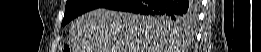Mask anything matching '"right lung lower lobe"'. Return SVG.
<instances>
[{"label": "right lung lower lobe", "mask_w": 261, "mask_h": 52, "mask_svg": "<svg viewBox=\"0 0 261 52\" xmlns=\"http://www.w3.org/2000/svg\"><path fill=\"white\" fill-rule=\"evenodd\" d=\"M102 8L155 16L183 17L195 13L194 4L183 0H110Z\"/></svg>", "instance_id": "right-lung-lower-lobe-1"}]
</instances>
